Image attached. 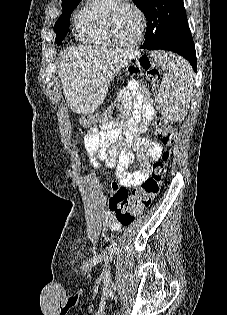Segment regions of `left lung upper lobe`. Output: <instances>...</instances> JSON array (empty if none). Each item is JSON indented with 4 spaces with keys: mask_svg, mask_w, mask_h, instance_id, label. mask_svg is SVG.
Segmentation results:
<instances>
[{
    "mask_svg": "<svg viewBox=\"0 0 227 315\" xmlns=\"http://www.w3.org/2000/svg\"><path fill=\"white\" fill-rule=\"evenodd\" d=\"M148 20L144 43L154 42L187 23L183 0H133Z\"/></svg>",
    "mask_w": 227,
    "mask_h": 315,
    "instance_id": "left-lung-upper-lobe-1",
    "label": "left lung upper lobe"
}]
</instances>
